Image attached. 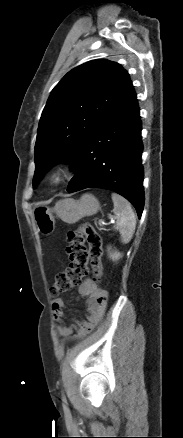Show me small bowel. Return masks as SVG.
Returning <instances> with one entry per match:
<instances>
[{"mask_svg": "<svg viewBox=\"0 0 183 438\" xmlns=\"http://www.w3.org/2000/svg\"><path fill=\"white\" fill-rule=\"evenodd\" d=\"M78 293L86 298L87 318L85 320H74L71 325L66 326L63 322L66 307L64 300L58 298L52 303L54 317L59 322L57 325L58 333L68 336L75 330L76 334L71 337L73 340L89 334L98 325L104 316L108 300V293L98 289L91 280L81 282L78 286Z\"/></svg>", "mask_w": 183, "mask_h": 438, "instance_id": "c3829d8e", "label": "small bowel"}]
</instances>
